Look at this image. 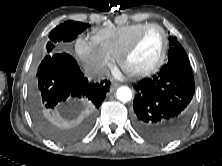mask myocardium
<instances>
[{
    "label": "myocardium",
    "mask_w": 222,
    "mask_h": 166,
    "mask_svg": "<svg viewBox=\"0 0 222 166\" xmlns=\"http://www.w3.org/2000/svg\"><path fill=\"white\" fill-rule=\"evenodd\" d=\"M151 29L159 30L163 36V48H162L160 57L158 58V60L156 61L154 65H152L151 67L145 70H140V71L128 70L126 67L127 58L137 47L142 37ZM168 49H169V36H168L167 31L161 25L152 23L145 26L133 37V39L127 44V46L119 54L117 59H118L119 66L127 75L131 77H146V76H150L156 73L162 67V65L164 64L167 58Z\"/></svg>",
    "instance_id": "1"
}]
</instances>
